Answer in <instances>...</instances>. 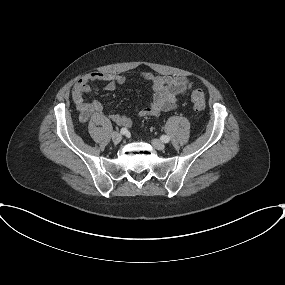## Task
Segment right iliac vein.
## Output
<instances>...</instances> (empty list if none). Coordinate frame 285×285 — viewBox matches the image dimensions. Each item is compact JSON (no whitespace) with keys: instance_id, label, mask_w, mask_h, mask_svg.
Wrapping results in <instances>:
<instances>
[{"instance_id":"obj_1","label":"right iliac vein","mask_w":285,"mask_h":285,"mask_svg":"<svg viewBox=\"0 0 285 285\" xmlns=\"http://www.w3.org/2000/svg\"><path fill=\"white\" fill-rule=\"evenodd\" d=\"M112 140L114 143H119L122 140V135L119 132H113L111 134Z\"/></svg>"}]
</instances>
